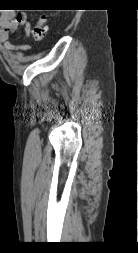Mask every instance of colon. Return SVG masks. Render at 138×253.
<instances>
[{"label": "colon", "instance_id": "obj_1", "mask_svg": "<svg viewBox=\"0 0 138 253\" xmlns=\"http://www.w3.org/2000/svg\"><path fill=\"white\" fill-rule=\"evenodd\" d=\"M31 35L36 42H41L46 35V20L41 18L32 28Z\"/></svg>", "mask_w": 138, "mask_h": 253}]
</instances>
